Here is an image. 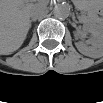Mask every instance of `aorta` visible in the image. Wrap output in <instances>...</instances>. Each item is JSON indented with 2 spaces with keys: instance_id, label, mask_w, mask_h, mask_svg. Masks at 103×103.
Returning a JSON list of instances; mask_svg holds the SVG:
<instances>
[{
  "instance_id": "1",
  "label": "aorta",
  "mask_w": 103,
  "mask_h": 103,
  "mask_svg": "<svg viewBox=\"0 0 103 103\" xmlns=\"http://www.w3.org/2000/svg\"><path fill=\"white\" fill-rule=\"evenodd\" d=\"M53 14L56 18L64 20L69 16L70 8L66 3L57 4L53 9Z\"/></svg>"
}]
</instances>
